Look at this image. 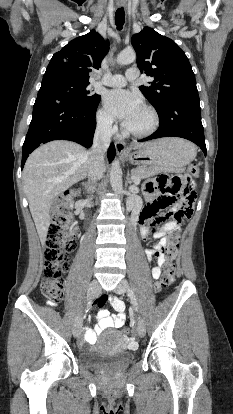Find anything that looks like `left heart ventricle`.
<instances>
[{
    "mask_svg": "<svg viewBox=\"0 0 233 414\" xmlns=\"http://www.w3.org/2000/svg\"><path fill=\"white\" fill-rule=\"evenodd\" d=\"M151 124L150 115L143 109L126 126L134 131H143Z\"/></svg>",
    "mask_w": 233,
    "mask_h": 414,
    "instance_id": "obj_1",
    "label": "left heart ventricle"
}]
</instances>
